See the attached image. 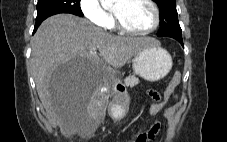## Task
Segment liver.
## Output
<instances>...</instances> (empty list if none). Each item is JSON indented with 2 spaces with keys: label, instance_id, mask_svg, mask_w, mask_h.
Segmentation results:
<instances>
[{
  "label": "liver",
  "instance_id": "obj_1",
  "mask_svg": "<svg viewBox=\"0 0 227 142\" xmlns=\"http://www.w3.org/2000/svg\"><path fill=\"white\" fill-rule=\"evenodd\" d=\"M159 42L149 37L115 36L72 14L53 15L42 22L31 40V68L37 92L46 112L62 131L82 132L95 117L97 92L102 80L88 78L86 88H53L49 81L59 61H92L94 73L99 57L120 68L136 53ZM62 93V95H58Z\"/></svg>",
  "mask_w": 227,
  "mask_h": 142
}]
</instances>
